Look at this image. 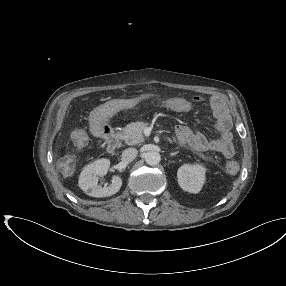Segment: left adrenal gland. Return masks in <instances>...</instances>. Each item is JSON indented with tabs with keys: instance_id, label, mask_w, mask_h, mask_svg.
Listing matches in <instances>:
<instances>
[{
	"instance_id": "a2214340",
	"label": "left adrenal gland",
	"mask_w": 286,
	"mask_h": 286,
	"mask_svg": "<svg viewBox=\"0 0 286 286\" xmlns=\"http://www.w3.org/2000/svg\"><path fill=\"white\" fill-rule=\"evenodd\" d=\"M178 153H179V151L173 152V153L170 154V156L172 157V156H174V155H176Z\"/></svg>"
}]
</instances>
